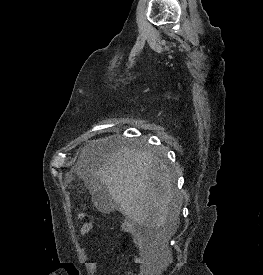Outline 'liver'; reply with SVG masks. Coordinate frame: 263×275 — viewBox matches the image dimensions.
<instances>
[{"instance_id": "obj_1", "label": "liver", "mask_w": 263, "mask_h": 275, "mask_svg": "<svg viewBox=\"0 0 263 275\" xmlns=\"http://www.w3.org/2000/svg\"><path fill=\"white\" fill-rule=\"evenodd\" d=\"M105 143L89 142L75 171L89 175L93 192L104 186L132 222L175 227L180 205L175 202L172 175L163 161L147 150L122 147L108 152L96 169L89 168L84 158Z\"/></svg>"}]
</instances>
